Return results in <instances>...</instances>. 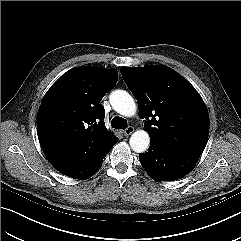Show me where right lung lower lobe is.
I'll use <instances>...</instances> for the list:
<instances>
[{"instance_id": "98d812e1", "label": "right lung lower lobe", "mask_w": 241, "mask_h": 241, "mask_svg": "<svg viewBox=\"0 0 241 241\" xmlns=\"http://www.w3.org/2000/svg\"><path fill=\"white\" fill-rule=\"evenodd\" d=\"M111 148L104 151L102 154H100L96 158L90 160L89 162L76 166L74 168L65 170L61 173L65 174L67 176L73 177V178H77V179L89 178L98 171L103 159L108 154V152L110 151Z\"/></svg>"}]
</instances>
